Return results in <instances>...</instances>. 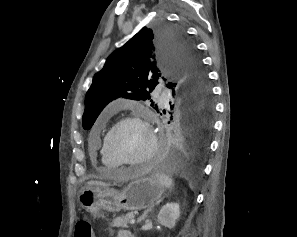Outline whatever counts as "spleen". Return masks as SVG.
I'll list each match as a JSON object with an SVG mask.
<instances>
[{
	"label": "spleen",
	"mask_w": 297,
	"mask_h": 237,
	"mask_svg": "<svg viewBox=\"0 0 297 237\" xmlns=\"http://www.w3.org/2000/svg\"><path fill=\"white\" fill-rule=\"evenodd\" d=\"M157 176H158L160 182L164 186H166L167 188H171V187L174 186V181H173V179L170 176L165 175V174H160V175H157Z\"/></svg>",
	"instance_id": "spleen-1"
}]
</instances>
